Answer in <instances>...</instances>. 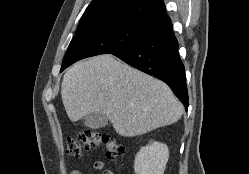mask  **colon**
I'll use <instances>...</instances> for the list:
<instances>
[{"label":"colon","instance_id":"5ec220e1","mask_svg":"<svg viewBox=\"0 0 249 174\" xmlns=\"http://www.w3.org/2000/svg\"><path fill=\"white\" fill-rule=\"evenodd\" d=\"M103 146L108 159H116L124 152L123 146L113 137L96 129H86L70 137L66 144V154L70 157H81L85 151Z\"/></svg>","mask_w":249,"mask_h":174}]
</instances>
